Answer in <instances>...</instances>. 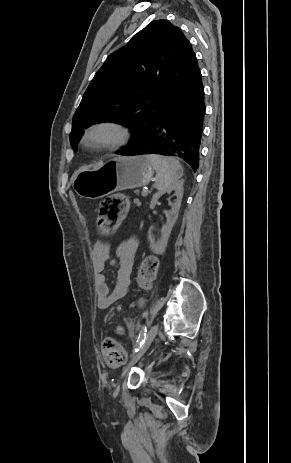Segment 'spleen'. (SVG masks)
Masks as SVG:
<instances>
[{
  "label": "spleen",
  "instance_id": "1",
  "mask_svg": "<svg viewBox=\"0 0 291 463\" xmlns=\"http://www.w3.org/2000/svg\"><path fill=\"white\" fill-rule=\"evenodd\" d=\"M146 157L156 170L155 185L158 190L167 189L182 177L183 168L176 159L160 155Z\"/></svg>",
  "mask_w": 291,
  "mask_h": 463
}]
</instances>
